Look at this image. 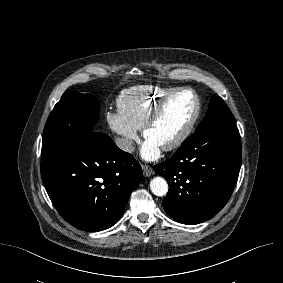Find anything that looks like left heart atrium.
<instances>
[{"mask_svg":"<svg viewBox=\"0 0 283 283\" xmlns=\"http://www.w3.org/2000/svg\"><path fill=\"white\" fill-rule=\"evenodd\" d=\"M160 148L156 142L147 138L141 149L142 157L146 160H156L160 156Z\"/></svg>","mask_w":283,"mask_h":283,"instance_id":"obj_1","label":"left heart atrium"}]
</instances>
